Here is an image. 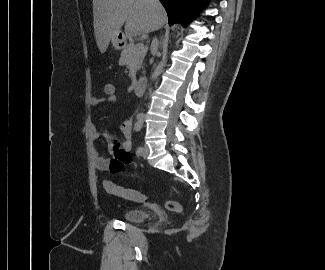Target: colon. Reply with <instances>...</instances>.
Instances as JSON below:
<instances>
[{
	"instance_id": "obj_1",
	"label": "colon",
	"mask_w": 325,
	"mask_h": 270,
	"mask_svg": "<svg viewBox=\"0 0 325 270\" xmlns=\"http://www.w3.org/2000/svg\"><path fill=\"white\" fill-rule=\"evenodd\" d=\"M102 92L106 98L117 97V88L116 85L112 82L105 83L102 88ZM103 187L107 193L120 198L135 202H143L145 200V196L141 192L115 185L109 180H105L103 182ZM166 207L173 212H181L183 209V206L180 203L172 200L166 202Z\"/></svg>"
}]
</instances>
